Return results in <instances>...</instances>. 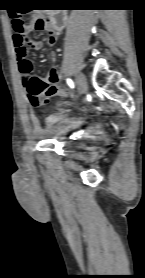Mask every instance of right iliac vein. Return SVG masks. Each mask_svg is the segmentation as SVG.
Returning a JSON list of instances; mask_svg holds the SVG:
<instances>
[{"instance_id": "right-iliac-vein-1", "label": "right iliac vein", "mask_w": 145, "mask_h": 278, "mask_svg": "<svg viewBox=\"0 0 145 278\" xmlns=\"http://www.w3.org/2000/svg\"><path fill=\"white\" fill-rule=\"evenodd\" d=\"M75 79L78 87V93L79 94L84 93L86 91V85H87L85 76L81 72H77Z\"/></svg>"}]
</instances>
